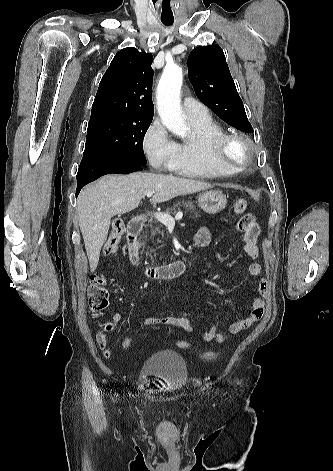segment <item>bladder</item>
Segmentation results:
<instances>
[{
    "instance_id": "obj_1",
    "label": "bladder",
    "mask_w": 333,
    "mask_h": 471,
    "mask_svg": "<svg viewBox=\"0 0 333 471\" xmlns=\"http://www.w3.org/2000/svg\"><path fill=\"white\" fill-rule=\"evenodd\" d=\"M140 375L162 380L165 384L163 391L167 393L181 391L188 381L184 358L171 350L156 352L146 359L141 366Z\"/></svg>"
}]
</instances>
